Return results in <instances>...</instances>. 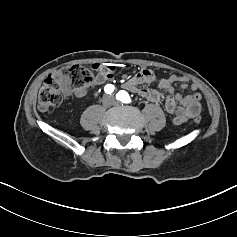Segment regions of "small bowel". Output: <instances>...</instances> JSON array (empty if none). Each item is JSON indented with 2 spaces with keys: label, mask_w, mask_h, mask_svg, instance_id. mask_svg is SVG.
<instances>
[{
  "label": "small bowel",
  "mask_w": 237,
  "mask_h": 237,
  "mask_svg": "<svg viewBox=\"0 0 237 237\" xmlns=\"http://www.w3.org/2000/svg\"><path fill=\"white\" fill-rule=\"evenodd\" d=\"M114 78V68L97 73L93 87L101 85ZM181 83L180 88L186 90L189 85L187 79L181 76L172 75L167 78H159L149 69H141L137 74L130 77L123 83V87L130 92L136 93L150 102H159L163 98L165 110L173 115V123L181 125L189 119L199 115L202 111L201 95L197 91V85H191L195 93L184 95L174 91V85ZM153 86V87H148ZM66 96L83 97L89 90H63Z\"/></svg>",
  "instance_id": "c3829d8e"
}]
</instances>
